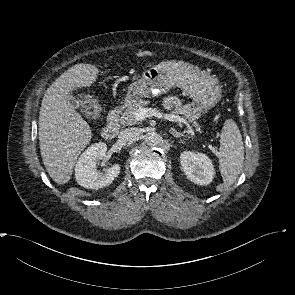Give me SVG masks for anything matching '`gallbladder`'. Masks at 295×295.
Wrapping results in <instances>:
<instances>
[{"label": "gallbladder", "instance_id": "gallbladder-1", "mask_svg": "<svg viewBox=\"0 0 295 295\" xmlns=\"http://www.w3.org/2000/svg\"><path fill=\"white\" fill-rule=\"evenodd\" d=\"M69 103L74 107V108H79V103L78 101L70 95Z\"/></svg>", "mask_w": 295, "mask_h": 295}]
</instances>
